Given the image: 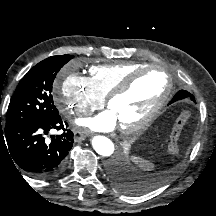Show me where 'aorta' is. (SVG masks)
<instances>
[{
    "label": "aorta",
    "mask_w": 216,
    "mask_h": 216,
    "mask_svg": "<svg viewBox=\"0 0 216 216\" xmlns=\"http://www.w3.org/2000/svg\"><path fill=\"white\" fill-rule=\"evenodd\" d=\"M93 149L101 156H111L115 151L114 143L105 136H95L92 139Z\"/></svg>",
    "instance_id": "762f6f07"
}]
</instances>
